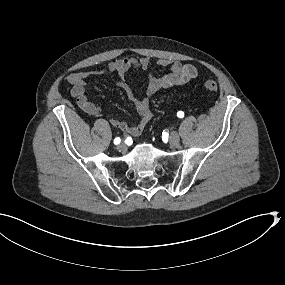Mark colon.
Instances as JSON below:
<instances>
[{
    "mask_svg": "<svg viewBox=\"0 0 285 285\" xmlns=\"http://www.w3.org/2000/svg\"><path fill=\"white\" fill-rule=\"evenodd\" d=\"M204 86L207 90H209L212 93H216L218 91V84L213 80H205Z\"/></svg>",
    "mask_w": 285,
    "mask_h": 285,
    "instance_id": "obj_1",
    "label": "colon"
}]
</instances>
